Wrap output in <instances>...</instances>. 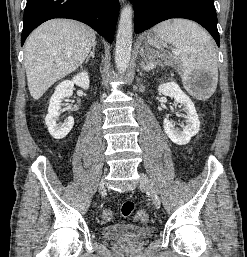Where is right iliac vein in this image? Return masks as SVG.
Segmentation results:
<instances>
[{"label":"right iliac vein","instance_id":"63e3f726","mask_svg":"<svg viewBox=\"0 0 247 257\" xmlns=\"http://www.w3.org/2000/svg\"><path fill=\"white\" fill-rule=\"evenodd\" d=\"M100 186H101L102 188L104 187V182H103V181L101 182Z\"/></svg>","mask_w":247,"mask_h":257}]
</instances>
